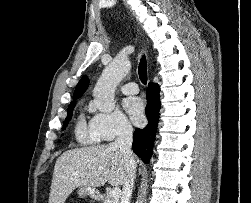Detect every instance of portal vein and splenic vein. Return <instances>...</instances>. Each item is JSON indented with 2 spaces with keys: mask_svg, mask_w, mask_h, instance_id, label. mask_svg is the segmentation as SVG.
<instances>
[{
  "mask_svg": "<svg viewBox=\"0 0 251 203\" xmlns=\"http://www.w3.org/2000/svg\"><path fill=\"white\" fill-rule=\"evenodd\" d=\"M110 198L114 199L115 201L119 200L121 195V190L119 188H113L108 194Z\"/></svg>",
  "mask_w": 251,
  "mask_h": 203,
  "instance_id": "portal-vein-and-splenic-vein-1",
  "label": "portal vein and splenic vein"
}]
</instances>
